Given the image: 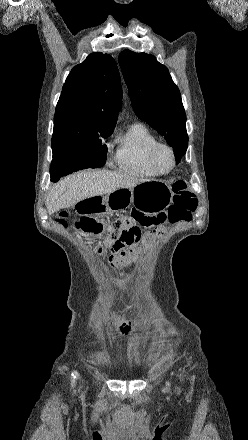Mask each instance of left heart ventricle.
<instances>
[{"label": "left heart ventricle", "mask_w": 248, "mask_h": 440, "mask_svg": "<svg viewBox=\"0 0 248 440\" xmlns=\"http://www.w3.org/2000/svg\"><path fill=\"white\" fill-rule=\"evenodd\" d=\"M159 164L162 168H169L172 164V158L168 151L161 150L158 156Z\"/></svg>", "instance_id": "b2bd125f"}]
</instances>
